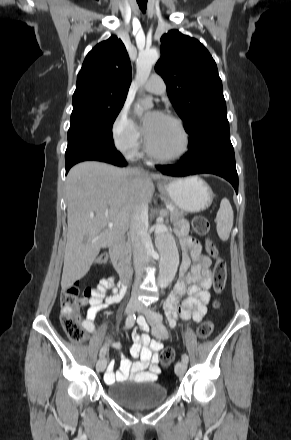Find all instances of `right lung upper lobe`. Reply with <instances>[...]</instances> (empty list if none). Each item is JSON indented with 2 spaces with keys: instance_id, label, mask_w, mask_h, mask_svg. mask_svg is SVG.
Returning a JSON list of instances; mask_svg holds the SVG:
<instances>
[{
  "instance_id": "1",
  "label": "right lung upper lobe",
  "mask_w": 291,
  "mask_h": 440,
  "mask_svg": "<svg viewBox=\"0 0 291 440\" xmlns=\"http://www.w3.org/2000/svg\"><path fill=\"white\" fill-rule=\"evenodd\" d=\"M130 84L131 64L126 48L120 39L111 36L87 54L77 76L73 103L126 99Z\"/></svg>"
}]
</instances>
